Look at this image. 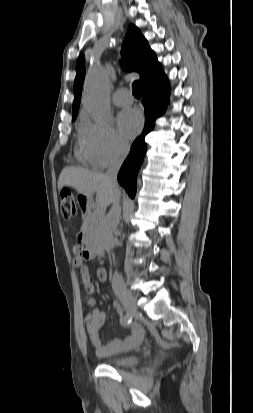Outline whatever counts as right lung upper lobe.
I'll return each instance as SVG.
<instances>
[{
    "label": "right lung upper lobe",
    "mask_w": 253,
    "mask_h": 413,
    "mask_svg": "<svg viewBox=\"0 0 253 413\" xmlns=\"http://www.w3.org/2000/svg\"><path fill=\"white\" fill-rule=\"evenodd\" d=\"M122 68L126 71H136L140 74V82L163 75L164 71L158 62L153 50L139 29L130 25L122 45ZM85 77L84 58L81 55L76 64V78L74 81V101L72 118H76L81 100V92Z\"/></svg>",
    "instance_id": "cb5924a9"
}]
</instances>
